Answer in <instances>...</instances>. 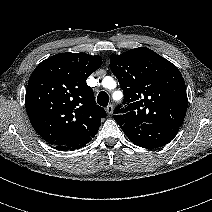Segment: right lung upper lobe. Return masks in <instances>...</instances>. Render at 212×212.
<instances>
[{
  "label": "right lung upper lobe",
  "instance_id": "obj_1",
  "mask_svg": "<svg viewBox=\"0 0 212 212\" xmlns=\"http://www.w3.org/2000/svg\"><path fill=\"white\" fill-rule=\"evenodd\" d=\"M102 64L98 55L60 53L32 72L25 108L36 132L50 145L87 143L97 133L105 110L86 83Z\"/></svg>",
  "mask_w": 212,
  "mask_h": 212
}]
</instances>
